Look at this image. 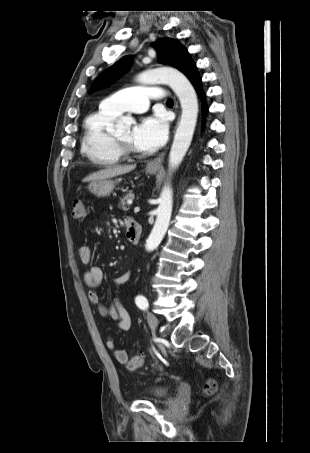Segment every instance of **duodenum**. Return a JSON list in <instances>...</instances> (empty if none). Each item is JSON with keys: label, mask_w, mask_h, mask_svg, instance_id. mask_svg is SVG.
Instances as JSON below:
<instances>
[{"label": "duodenum", "mask_w": 310, "mask_h": 453, "mask_svg": "<svg viewBox=\"0 0 310 453\" xmlns=\"http://www.w3.org/2000/svg\"><path fill=\"white\" fill-rule=\"evenodd\" d=\"M126 236L130 243L137 244L141 237V226L137 221H128L126 224Z\"/></svg>", "instance_id": "duodenum-1"}]
</instances>
